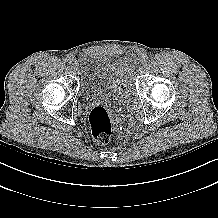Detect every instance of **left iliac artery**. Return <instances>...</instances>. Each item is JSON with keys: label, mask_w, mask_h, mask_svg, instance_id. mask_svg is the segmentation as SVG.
I'll return each mask as SVG.
<instances>
[{"label": "left iliac artery", "mask_w": 218, "mask_h": 218, "mask_svg": "<svg viewBox=\"0 0 218 218\" xmlns=\"http://www.w3.org/2000/svg\"><path fill=\"white\" fill-rule=\"evenodd\" d=\"M148 61V56L147 54H142L141 56V62H143V64H145Z\"/></svg>", "instance_id": "obj_1"}]
</instances>
